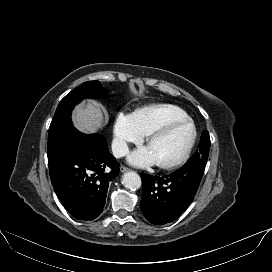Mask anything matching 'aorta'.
I'll return each instance as SVG.
<instances>
[{"mask_svg":"<svg viewBox=\"0 0 272 272\" xmlns=\"http://www.w3.org/2000/svg\"><path fill=\"white\" fill-rule=\"evenodd\" d=\"M122 183L125 187L131 190H136L141 187V178L136 172L129 171L123 175Z\"/></svg>","mask_w":272,"mask_h":272,"instance_id":"aorta-1","label":"aorta"}]
</instances>
